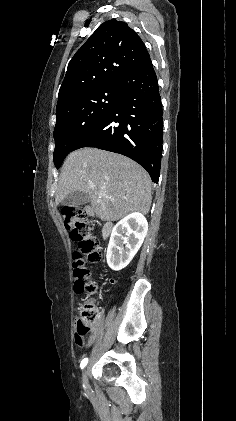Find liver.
<instances>
[{
  "label": "liver",
  "mask_w": 236,
  "mask_h": 421,
  "mask_svg": "<svg viewBox=\"0 0 236 421\" xmlns=\"http://www.w3.org/2000/svg\"><path fill=\"white\" fill-rule=\"evenodd\" d=\"M89 184H95L94 188ZM75 190L87 192L93 213L101 221H119L130 213L147 215L150 211L148 172L135 160L117 152L89 146L70 152L61 168L56 204Z\"/></svg>",
  "instance_id": "obj_1"
}]
</instances>
